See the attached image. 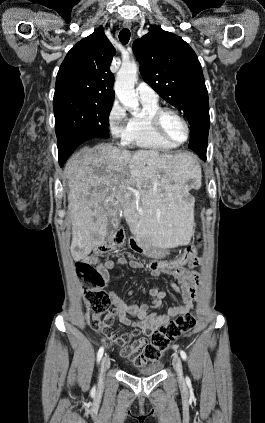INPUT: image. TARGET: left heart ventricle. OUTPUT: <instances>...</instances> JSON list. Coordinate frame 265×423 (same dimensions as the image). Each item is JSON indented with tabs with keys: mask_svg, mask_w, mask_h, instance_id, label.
Instances as JSON below:
<instances>
[{
	"mask_svg": "<svg viewBox=\"0 0 265 423\" xmlns=\"http://www.w3.org/2000/svg\"><path fill=\"white\" fill-rule=\"evenodd\" d=\"M165 132L173 140L181 142L186 137V130L183 123L173 114H166L163 118Z\"/></svg>",
	"mask_w": 265,
	"mask_h": 423,
	"instance_id": "b2bd125f",
	"label": "left heart ventricle"
}]
</instances>
